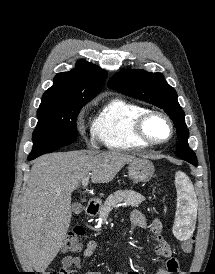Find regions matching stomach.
<instances>
[{"label":"stomach","instance_id":"obj_1","mask_svg":"<svg viewBox=\"0 0 215 274\" xmlns=\"http://www.w3.org/2000/svg\"><path fill=\"white\" fill-rule=\"evenodd\" d=\"M154 171L153 163L145 158H133L128 163V175L134 182H148Z\"/></svg>","mask_w":215,"mask_h":274}]
</instances>
